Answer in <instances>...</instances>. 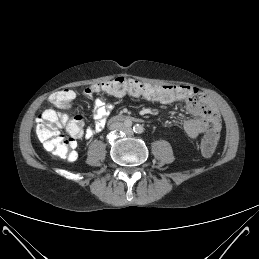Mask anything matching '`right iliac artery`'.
Masks as SVG:
<instances>
[{"instance_id": "1", "label": "right iliac artery", "mask_w": 259, "mask_h": 259, "mask_svg": "<svg viewBox=\"0 0 259 259\" xmlns=\"http://www.w3.org/2000/svg\"><path fill=\"white\" fill-rule=\"evenodd\" d=\"M125 126L126 127H131L132 126V122L131 121L125 122Z\"/></svg>"}]
</instances>
